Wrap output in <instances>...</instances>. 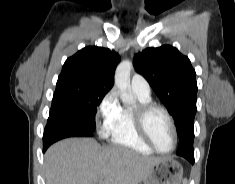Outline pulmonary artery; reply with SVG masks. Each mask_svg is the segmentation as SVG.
<instances>
[{"mask_svg":"<svg viewBox=\"0 0 235 184\" xmlns=\"http://www.w3.org/2000/svg\"><path fill=\"white\" fill-rule=\"evenodd\" d=\"M131 87L138 97L145 99L150 97V86L142 75L134 74L132 76Z\"/></svg>","mask_w":235,"mask_h":184,"instance_id":"obj_1","label":"pulmonary artery"}]
</instances>
